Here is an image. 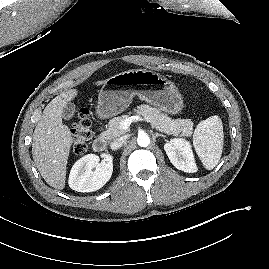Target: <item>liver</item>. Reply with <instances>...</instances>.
<instances>
[{"label":"liver","instance_id":"1","mask_svg":"<svg viewBox=\"0 0 269 269\" xmlns=\"http://www.w3.org/2000/svg\"><path fill=\"white\" fill-rule=\"evenodd\" d=\"M98 81L100 86L105 83ZM78 95L70 89L55 97L44 109L33 133L32 154L36 167L47 184L55 189L65 187L68 157L73 138L62 123V113L68 102Z\"/></svg>","mask_w":269,"mask_h":269}]
</instances>
